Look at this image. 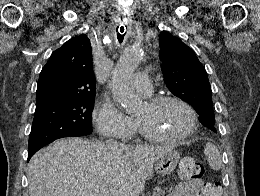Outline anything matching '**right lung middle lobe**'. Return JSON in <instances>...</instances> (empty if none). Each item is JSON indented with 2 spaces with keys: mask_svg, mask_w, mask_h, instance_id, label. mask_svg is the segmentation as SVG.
I'll return each instance as SVG.
<instances>
[{
  "mask_svg": "<svg viewBox=\"0 0 260 196\" xmlns=\"http://www.w3.org/2000/svg\"><path fill=\"white\" fill-rule=\"evenodd\" d=\"M95 93L77 94L36 106L29 138V151L62 137H79L92 133Z\"/></svg>",
  "mask_w": 260,
  "mask_h": 196,
  "instance_id": "1",
  "label": "right lung middle lobe"
}]
</instances>
